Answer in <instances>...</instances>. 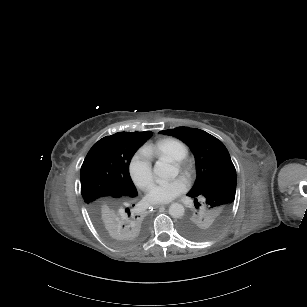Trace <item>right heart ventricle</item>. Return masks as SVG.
<instances>
[{
	"instance_id": "e07e8e85",
	"label": "right heart ventricle",
	"mask_w": 307,
	"mask_h": 307,
	"mask_svg": "<svg viewBox=\"0 0 307 307\" xmlns=\"http://www.w3.org/2000/svg\"><path fill=\"white\" fill-rule=\"evenodd\" d=\"M191 150L190 144L180 138L168 137L164 140L159 155H165L175 160H180L189 155Z\"/></svg>"
}]
</instances>
